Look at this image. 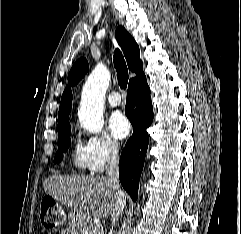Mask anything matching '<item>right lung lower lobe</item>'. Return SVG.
Here are the masks:
<instances>
[{"label":"right lung lower lobe","mask_w":241,"mask_h":234,"mask_svg":"<svg viewBox=\"0 0 241 234\" xmlns=\"http://www.w3.org/2000/svg\"><path fill=\"white\" fill-rule=\"evenodd\" d=\"M125 114L134 130L121 153L119 179L123 188L135 201L149 143L146 129L153 120L150 89L145 74L129 82Z\"/></svg>","instance_id":"98d812e1"}]
</instances>
